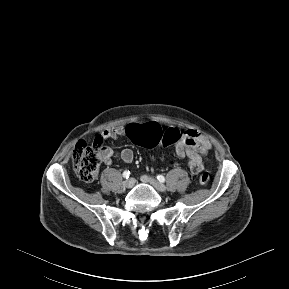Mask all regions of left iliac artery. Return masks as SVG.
Returning a JSON list of instances; mask_svg holds the SVG:
<instances>
[{
	"label": "left iliac artery",
	"instance_id": "1",
	"mask_svg": "<svg viewBox=\"0 0 289 289\" xmlns=\"http://www.w3.org/2000/svg\"><path fill=\"white\" fill-rule=\"evenodd\" d=\"M157 179H158V181L161 182V183H164V182H165V178H164V176H162V175H158V176H157Z\"/></svg>",
	"mask_w": 289,
	"mask_h": 289
}]
</instances>
